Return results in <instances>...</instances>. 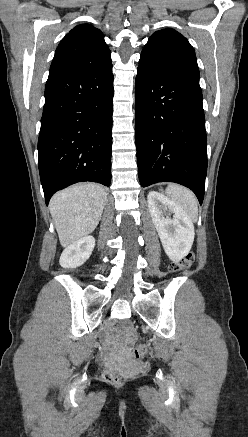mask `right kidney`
I'll list each match as a JSON object with an SVG mask.
<instances>
[{
	"mask_svg": "<svg viewBox=\"0 0 248 437\" xmlns=\"http://www.w3.org/2000/svg\"><path fill=\"white\" fill-rule=\"evenodd\" d=\"M95 246V238L93 236L83 237L72 243L62 252L60 257V265L63 268H76L85 263L92 254Z\"/></svg>",
	"mask_w": 248,
	"mask_h": 437,
	"instance_id": "1",
	"label": "right kidney"
}]
</instances>
